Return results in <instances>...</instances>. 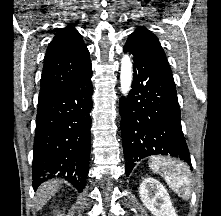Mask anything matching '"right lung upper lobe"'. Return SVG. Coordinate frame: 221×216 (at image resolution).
<instances>
[{"mask_svg":"<svg viewBox=\"0 0 221 216\" xmlns=\"http://www.w3.org/2000/svg\"><path fill=\"white\" fill-rule=\"evenodd\" d=\"M91 69L89 52L81 34L72 26L61 28L45 54L39 100L83 78Z\"/></svg>","mask_w":221,"mask_h":216,"instance_id":"cb5924a9","label":"right lung upper lobe"}]
</instances>
